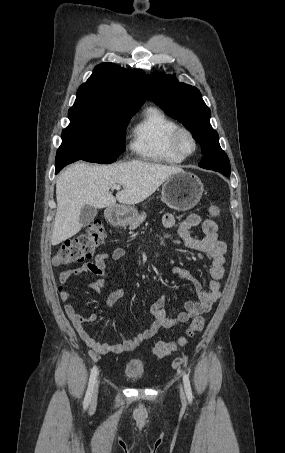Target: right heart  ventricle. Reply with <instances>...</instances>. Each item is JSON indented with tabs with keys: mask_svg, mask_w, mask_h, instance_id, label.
I'll list each match as a JSON object with an SVG mask.
<instances>
[{
	"mask_svg": "<svg viewBox=\"0 0 285 453\" xmlns=\"http://www.w3.org/2000/svg\"><path fill=\"white\" fill-rule=\"evenodd\" d=\"M177 127L178 124L161 109L148 107L132 128L130 148L145 159L168 164L181 163L184 158L175 152L171 143Z\"/></svg>",
	"mask_w": 285,
	"mask_h": 453,
	"instance_id": "1",
	"label": "right heart ventricle"
}]
</instances>
